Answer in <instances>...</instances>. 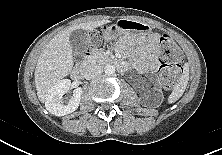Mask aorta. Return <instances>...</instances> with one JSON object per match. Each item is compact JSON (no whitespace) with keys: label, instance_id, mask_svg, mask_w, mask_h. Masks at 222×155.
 Listing matches in <instances>:
<instances>
[{"label":"aorta","instance_id":"obj_1","mask_svg":"<svg viewBox=\"0 0 222 155\" xmlns=\"http://www.w3.org/2000/svg\"><path fill=\"white\" fill-rule=\"evenodd\" d=\"M104 71L107 75H112L115 73V67L113 65L107 64L104 67Z\"/></svg>","mask_w":222,"mask_h":155}]
</instances>
